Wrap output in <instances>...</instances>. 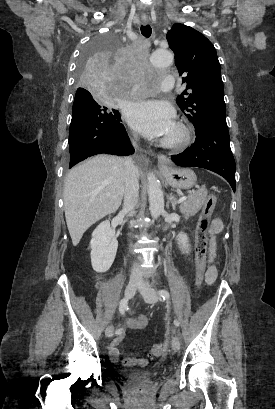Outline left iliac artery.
Listing matches in <instances>:
<instances>
[{
    "label": "left iliac artery",
    "mask_w": 275,
    "mask_h": 409,
    "mask_svg": "<svg viewBox=\"0 0 275 409\" xmlns=\"http://www.w3.org/2000/svg\"><path fill=\"white\" fill-rule=\"evenodd\" d=\"M158 294L163 298V300H167L170 297V294H169L168 290H166V289H160L158 291ZM174 325L179 326V321L175 319L174 320Z\"/></svg>",
    "instance_id": "obj_1"
}]
</instances>
